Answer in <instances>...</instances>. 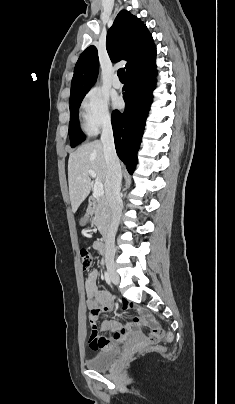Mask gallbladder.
I'll list each match as a JSON object with an SVG mask.
<instances>
[{"label":"gallbladder","instance_id":"gallbladder-1","mask_svg":"<svg viewBox=\"0 0 235 404\" xmlns=\"http://www.w3.org/2000/svg\"><path fill=\"white\" fill-rule=\"evenodd\" d=\"M86 223V219H85V217L84 218H82L81 220H80V224L81 225H84Z\"/></svg>","mask_w":235,"mask_h":404}]
</instances>
